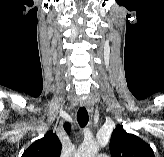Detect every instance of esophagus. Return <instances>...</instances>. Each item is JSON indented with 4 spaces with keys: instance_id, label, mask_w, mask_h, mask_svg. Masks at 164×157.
<instances>
[{
    "instance_id": "34e87169",
    "label": "esophagus",
    "mask_w": 164,
    "mask_h": 157,
    "mask_svg": "<svg viewBox=\"0 0 164 157\" xmlns=\"http://www.w3.org/2000/svg\"><path fill=\"white\" fill-rule=\"evenodd\" d=\"M81 104L86 107L89 115L92 116L94 112L93 104L89 100H83Z\"/></svg>"
}]
</instances>
